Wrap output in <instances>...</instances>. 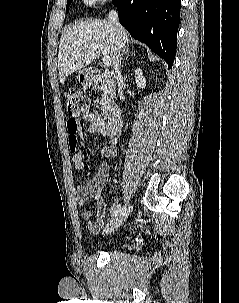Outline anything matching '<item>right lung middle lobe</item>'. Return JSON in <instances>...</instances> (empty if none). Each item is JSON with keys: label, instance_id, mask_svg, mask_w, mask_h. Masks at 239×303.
<instances>
[{"label": "right lung middle lobe", "instance_id": "1", "mask_svg": "<svg viewBox=\"0 0 239 303\" xmlns=\"http://www.w3.org/2000/svg\"><path fill=\"white\" fill-rule=\"evenodd\" d=\"M72 0H68L67 5L69 6L71 4ZM68 6L66 7V9L68 10Z\"/></svg>", "mask_w": 239, "mask_h": 303}]
</instances>
